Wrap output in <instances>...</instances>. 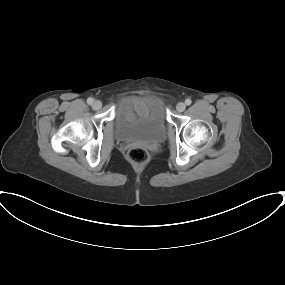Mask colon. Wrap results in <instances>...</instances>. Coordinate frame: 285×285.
Instances as JSON below:
<instances>
[{
  "label": "colon",
  "mask_w": 285,
  "mask_h": 285,
  "mask_svg": "<svg viewBox=\"0 0 285 285\" xmlns=\"http://www.w3.org/2000/svg\"><path fill=\"white\" fill-rule=\"evenodd\" d=\"M128 158L132 163L141 165L147 162L149 155L143 147H132L128 151Z\"/></svg>",
  "instance_id": "1"
}]
</instances>
